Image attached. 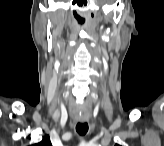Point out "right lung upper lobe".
<instances>
[{
	"instance_id": "obj_1",
	"label": "right lung upper lobe",
	"mask_w": 164,
	"mask_h": 146,
	"mask_svg": "<svg viewBox=\"0 0 164 146\" xmlns=\"http://www.w3.org/2000/svg\"><path fill=\"white\" fill-rule=\"evenodd\" d=\"M35 145H37V146H51L49 136L44 137L40 143L35 144Z\"/></svg>"
}]
</instances>
